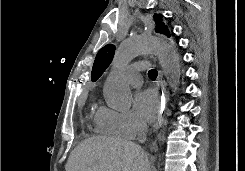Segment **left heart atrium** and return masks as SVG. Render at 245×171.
I'll list each match as a JSON object with an SVG mask.
<instances>
[{
	"label": "left heart atrium",
	"instance_id": "39dd6f15",
	"mask_svg": "<svg viewBox=\"0 0 245 171\" xmlns=\"http://www.w3.org/2000/svg\"><path fill=\"white\" fill-rule=\"evenodd\" d=\"M160 100L152 89L140 90L134 97V110L143 120L152 121L159 112Z\"/></svg>",
	"mask_w": 245,
	"mask_h": 171
}]
</instances>
